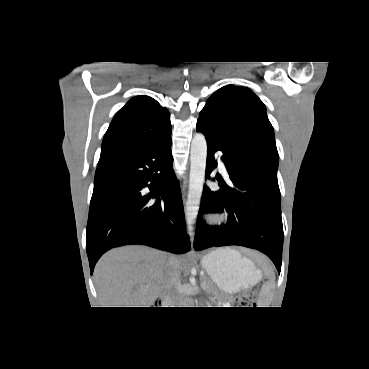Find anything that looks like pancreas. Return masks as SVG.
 I'll return each instance as SVG.
<instances>
[{
	"mask_svg": "<svg viewBox=\"0 0 369 369\" xmlns=\"http://www.w3.org/2000/svg\"><path fill=\"white\" fill-rule=\"evenodd\" d=\"M202 284H201V287L207 291V292H211V291H214L215 290V287L213 286L212 282L209 281L208 279L206 278H203L202 279Z\"/></svg>",
	"mask_w": 369,
	"mask_h": 369,
	"instance_id": "obj_1",
	"label": "pancreas"
}]
</instances>
